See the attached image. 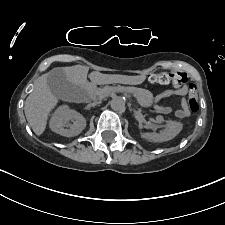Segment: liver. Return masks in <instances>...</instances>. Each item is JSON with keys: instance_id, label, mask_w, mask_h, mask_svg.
<instances>
[{"instance_id": "1", "label": "liver", "mask_w": 225, "mask_h": 225, "mask_svg": "<svg viewBox=\"0 0 225 225\" xmlns=\"http://www.w3.org/2000/svg\"><path fill=\"white\" fill-rule=\"evenodd\" d=\"M68 81L74 86L87 85L86 81L89 68L87 66L75 65L62 68ZM47 75H41L34 85L33 91L26 98L24 111L26 119L34 133L38 136L45 131L47 120L52 109L57 105L58 100L50 91L47 84ZM89 78L94 85H104L116 82L135 83L127 80L124 76L106 75L99 72H91Z\"/></svg>"}]
</instances>
